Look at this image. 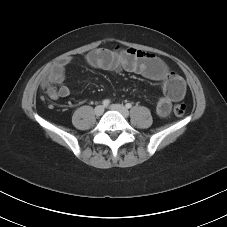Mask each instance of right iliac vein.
I'll use <instances>...</instances> for the list:
<instances>
[{
  "mask_svg": "<svg viewBox=\"0 0 227 227\" xmlns=\"http://www.w3.org/2000/svg\"><path fill=\"white\" fill-rule=\"evenodd\" d=\"M94 112H95L96 116H101L104 112V106H102V105L96 106L94 109Z\"/></svg>",
  "mask_w": 227,
  "mask_h": 227,
  "instance_id": "right-iliac-vein-1",
  "label": "right iliac vein"
}]
</instances>
